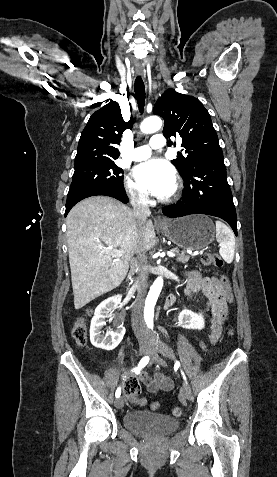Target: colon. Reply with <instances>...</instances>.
I'll use <instances>...</instances> for the list:
<instances>
[{"mask_svg": "<svg viewBox=\"0 0 277 477\" xmlns=\"http://www.w3.org/2000/svg\"><path fill=\"white\" fill-rule=\"evenodd\" d=\"M201 264L203 265L204 268H215V267L219 268L223 265V261L217 254L204 253L201 256ZM219 281L223 285V291L225 292L226 302L229 304L234 303L235 301L234 289L229 284L228 277L225 275H222L220 276ZM72 336L79 346L83 347L86 345L87 332H86L85 320L83 317H80L75 321L73 329H72ZM124 389H125V393L127 394L129 398V401L132 404L136 405V404L142 403L143 398L139 397L140 389L135 382L127 381ZM159 406L160 404L157 401L152 402L150 405L152 410H157ZM173 414L175 416H180L182 414V409L180 407H175L173 409Z\"/></svg>", "mask_w": 277, "mask_h": 477, "instance_id": "colon-1", "label": "colon"}]
</instances>
